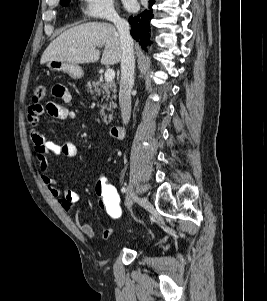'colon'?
Masks as SVG:
<instances>
[{"label":"colon","instance_id":"obj_1","mask_svg":"<svg viewBox=\"0 0 267 301\" xmlns=\"http://www.w3.org/2000/svg\"><path fill=\"white\" fill-rule=\"evenodd\" d=\"M46 95L44 85H37L34 89L33 100L38 102ZM95 195L100 209L111 219H120L123 214L121 198L114 187L106 178H99L95 183Z\"/></svg>","mask_w":267,"mask_h":301}]
</instances>
